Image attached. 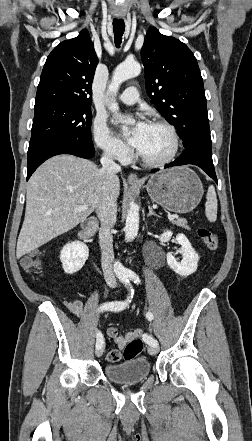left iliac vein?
I'll use <instances>...</instances> for the list:
<instances>
[{"instance_id": "left-iliac-vein-1", "label": "left iliac vein", "mask_w": 252, "mask_h": 441, "mask_svg": "<svg viewBox=\"0 0 252 441\" xmlns=\"http://www.w3.org/2000/svg\"><path fill=\"white\" fill-rule=\"evenodd\" d=\"M159 349L157 346H150L148 348V352L150 355H156L158 353Z\"/></svg>"}]
</instances>
